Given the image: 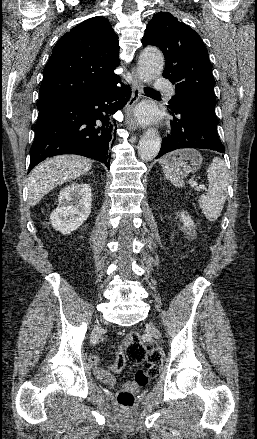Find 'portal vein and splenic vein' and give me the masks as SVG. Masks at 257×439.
<instances>
[{"instance_id": "portal-vein-and-splenic-vein-1", "label": "portal vein and splenic vein", "mask_w": 257, "mask_h": 439, "mask_svg": "<svg viewBox=\"0 0 257 439\" xmlns=\"http://www.w3.org/2000/svg\"><path fill=\"white\" fill-rule=\"evenodd\" d=\"M190 184H191L192 187L196 186L198 190H205L206 189L205 186H203V185L197 186L196 182L193 181V180H190Z\"/></svg>"}]
</instances>
